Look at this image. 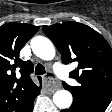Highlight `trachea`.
Instances as JSON below:
<instances>
[{
	"mask_svg": "<svg viewBox=\"0 0 112 112\" xmlns=\"http://www.w3.org/2000/svg\"><path fill=\"white\" fill-rule=\"evenodd\" d=\"M35 74L36 75H43L45 74V67L42 64H37L35 68Z\"/></svg>",
	"mask_w": 112,
	"mask_h": 112,
	"instance_id": "trachea-1",
	"label": "trachea"
}]
</instances>
